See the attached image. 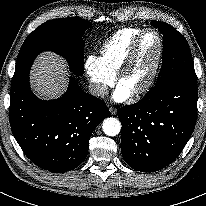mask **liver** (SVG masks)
Instances as JSON below:
<instances>
[{
    "instance_id": "6515ba94",
    "label": "liver",
    "mask_w": 206,
    "mask_h": 206,
    "mask_svg": "<svg viewBox=\"0 0 206 206\" xmlns=\"http://www.w3.org/2000/svg\"><path fill=\"white\" fill-rule=\"evenodd\" d=\"M30 81L40 98L59 97L66 90L68 82L65 61L54 53H42L32 66Z\"/></svg>"
}]
</instances>
